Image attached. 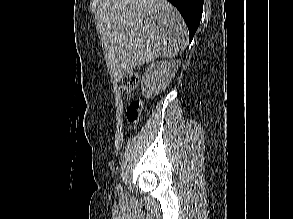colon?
<instances>
[{"mask_svg": "<svg viewBox=\"0 0 293 219\" xmlns=\"http://www.w3.org/2000/svg\"><path fill=\"white\" fill-rule=\"evenodd\" d=\"M139 75L135 71H129L122 79L121 90L124 93L132 92L138 85ZM141 109V102L138 100L132 101L126 111L127 120L130 123H136L139 120V114Z\"/></svg>", "mask_w": 293, "mask_h": 219, "instance_id": "1", "label": "colon"}]
</instances>
